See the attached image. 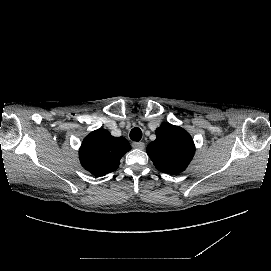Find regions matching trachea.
Masks as SVG:
<instances>
[{
    "instance_id": "obj_1",
    "label": "trachea",
    "mask_w": 271,
    "mask_h": 271,
    "mask_svg": "<svg viewBox=\"0 0 271 271\" xmlns=\"http://www.w3.org/2000/svg\"><path fill=\"white\" fill-rule=\"evenodd\" d=\"M142 137V131L140 128L135 127L130 131V138L132 140L140 141Z\"/></svg>"
}]
</instances>
